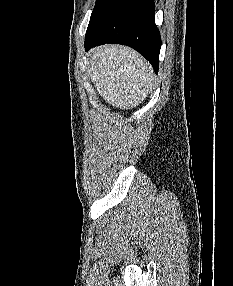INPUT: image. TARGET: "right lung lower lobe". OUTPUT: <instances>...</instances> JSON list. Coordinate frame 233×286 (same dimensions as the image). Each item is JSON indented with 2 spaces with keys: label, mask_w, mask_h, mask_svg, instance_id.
I'll return each instance as SVG.
<instances>
[{
  "label": "right lung lower lobe",
  "mask_w": 233,
  "mask_h": 286,
  "mask_svg": "<svg viewBox=\"0 0 233 286\" xmlns=\"http://www.w3.org/2000/svg\"><path fill=\"white\" fill-rule=\"evenodd\" d=\"M153 0H103L92 12L85 49L105 44L127 45L158 72L161 37L155 25Z\"/></svg>",
  "instance_id": "obj_1"
}]
</instances>
